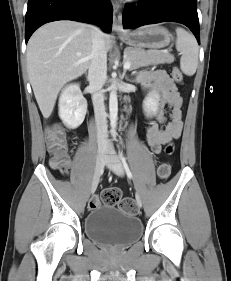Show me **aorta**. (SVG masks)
I'll use <instances>...</instances> for the list:
<instances>
[{
  "mask_svg": "<svg viewBox=\"0 0 231 281\" xmlns=\"http://www.w3.org/2000/svg\"><path fill=\"white\" fill-rule=\"evenodd\" d=\"M109 114L112 132L115 133L118 119V99L115 84L111 85L109 97Z\"/></svg>",
  "mask_w": 231,
  "mask_h": 281,
  "instance_id": "aorta-1",
  "label": "aorta"
}]
</instances>
